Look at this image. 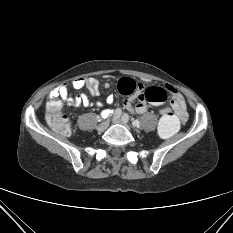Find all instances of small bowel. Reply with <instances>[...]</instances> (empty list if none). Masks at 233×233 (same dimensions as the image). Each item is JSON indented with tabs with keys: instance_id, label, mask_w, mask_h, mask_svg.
<instances>
[{
	"instance_id": "c3829d8e",
	"label": "small bowel",
	"mask_w": 233,
	"mask_h": 233,
	"mask_svg": "<svg viewBox=\"0 0 233 233\" xmlns=\"http://www.w3.org/2000/svg\"><path fill=\"white\" fill-rule=\"evenodd\" d=\"M74 89H82L86 87L89 91L91 97H96L99 95V85L96 79L94 78H77L71 83ZM108 87V84L106 85ZM166 90L170 93V105L174 109L175 113L178 115L182 122L187 119L186 104L183 96L171 85H166ZM60 97L66 104L72 107L90 106L93 103L90 101L89 97L86 94H80L73 96L67 84H62L53 89L50 93V98L55 99ZM114 102V97L112 95L106 98L105 103L111 105ZM97 107L101 108V116L108 117L111 114V111L107 108H104V103L97 101L95 103ZM124 106L127 110L136 113H143L147 109V104L145 101L140 100L137 104L133 105L131 98L124 101Z\"/></svg>"
}]
</instances>
